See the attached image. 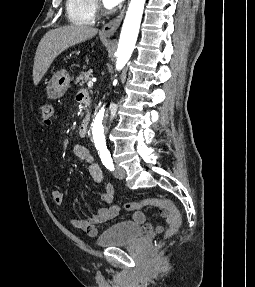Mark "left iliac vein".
<instances>
[{
  "mask_svg": "<svg viewBox=\"0 0 255 287\" xmlns=\"http://www.w3.org/2000/svg\"><path fill=\"white\" fill-rule=\"evenodd\" d=\"M113 174L118 179H124L126 176L125 169L121 166H117L116 170L113 172Z\"/></svg>",
  "mask_w": 255,
  "mask_h": 287,
  "instance_id": "4c4485c4",
  "label": "left iliac vein"
}]
</instances>
